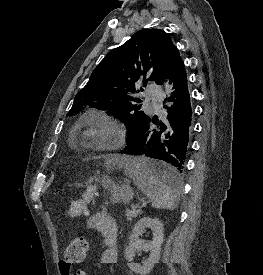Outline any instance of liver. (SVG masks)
<instances>
[{
  "instance_id": "obj_1",
  "label": "liver",
  "mask_w": 263,
  "mask_h": 275,
  "mask_svg": "<svg viewBox=\"0 0 263 275\" xmlns=\"http://www.w3.org/2000/svg\"><path fill=\"white\" fill-rule=\"evenodd\" d=\"M122 160H123V157L114 155V156H111L107 159V163L108 164L114 163V162H119L120 163V162H122Z\"/></svg>"
}]
</instances>
